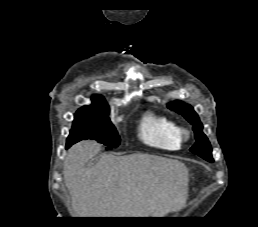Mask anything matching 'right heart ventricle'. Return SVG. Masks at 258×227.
Instances as JSON below:
<instances>
[{"mask_svg": "<svg viewBox=\"0 0 258 227\" xmlns=\"http://www.w3.org/2000/svg\"><path fill=\"white\" fill-rule=\"evenodd\" d=\"M178 125L172 119L154 111H147L138 126L140 140L146 145L162 150H177L181 140Z\"/></svg>", "mask_w": 258, "mask_h": 227, "instance_id": "right-heart-ventricle-1", "label": "right heart ventricle"}]
</instances>
